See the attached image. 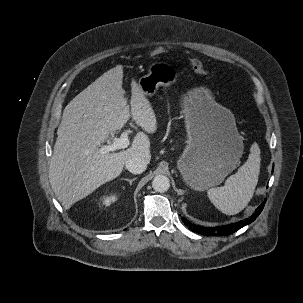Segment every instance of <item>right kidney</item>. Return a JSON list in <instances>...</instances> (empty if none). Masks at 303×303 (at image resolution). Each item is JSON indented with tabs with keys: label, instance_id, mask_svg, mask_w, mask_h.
<instances>
[{
	"label": "right kidney",
	"instance_id": "obj_1",
	"mask_svg": "<svg viewBox=\"0 0 303 303\" xmlns=\"http://www.w3.org/2000/svg\"><path fill=\"white\" fill-rule=\"evenodd\" d=\"M116 200H117V195L111 194V195L101 197L100 204L107 207V206L111 205V203L115 202Z\"/></svg>",
	"mask_w": 303,
	"mask_h": 303
}]
</instances>
